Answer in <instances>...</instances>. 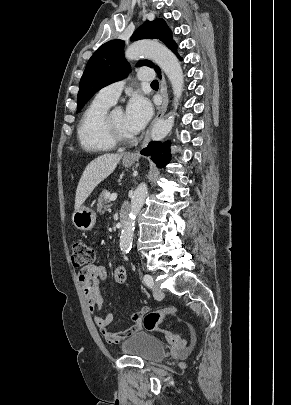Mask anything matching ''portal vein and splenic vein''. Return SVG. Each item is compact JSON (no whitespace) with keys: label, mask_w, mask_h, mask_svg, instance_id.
Returning <instances> with one entry per match:
<instances>
[{"label":"portal vein and splenic vein","mask_w":291,"mask_h":405,"mask_svg":"<svg viewBox=\"0 0 291 405\" xmlns=\"http://www.w3.org/2000/svg\"><path fill=\"white\" fill-rule=\"evenodd\" d=\"M116 198H117V194H116V193H113V194L110 195V200H111V201H115Z\"/></svg>","instance_id":"obj_1"}]
</instances>
